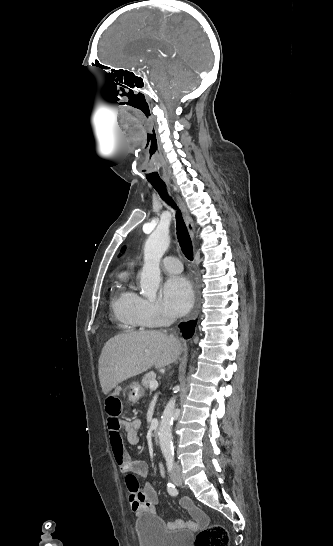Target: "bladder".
<instances>
[{
    "mask_svg": "<svg viewBox=\"0 0 333 546\" xmlns=\"http://www.w3.org/2000/svg\"><path fill=\"white\" fill-rule=\"evenodd\" d=\"M134 528L140 546H191L192 533L189 531H170L163 521L152 514L139 516Z\"/></svg>",
    "mask_w": 333,
    "mask_h": 546,
    "instance_id": "bladder-1",
    "label": "bladder"
}]
</instances>
